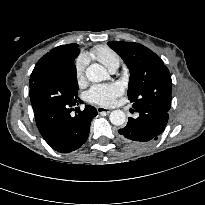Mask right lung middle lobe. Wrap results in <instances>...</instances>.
I'll list each match as a JSON object with an SVG mask.
<instances>
[{"instance_id": "dd1d6c3e", "label": "right lung middle lobe", "mask_w": 205, "mask_h": 205, "mask_svg": "<svg viewBox=\"0 0 205 205\" xmlns=\"http://www.w3.org/2000/svg\"><path fill=\"white\" fill-rule=\"evenodd\" d=\"M68 72L70 73L72 79L74 80V83L76 85H78L77 83V79H76V67L75 65L72 63L68 66ZM51 73V72H50ZM49 74V73H48ZM47 75V74H46ZM45 76V75H44ZM43 77V76H42Z\"/></svg>"}]
</instances>
